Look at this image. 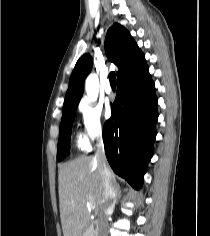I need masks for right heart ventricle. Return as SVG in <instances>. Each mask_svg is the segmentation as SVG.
<instances>
[{
	"label": "right heart ventricle",
	"instance_id": "e07e8e85",
	"mask_svg": "<svg viewBox=\"0 0 210 236\" xmlns=\"http://www.w3.org/2000/svg\"><path fill=\"white\" fill-rule=\"evenodd\" d=\"M75 146L78 150L86 151L89 149V143L80 134L75 136Z\"/></svg>",
	"mask_w": 210,
	"mask_h": 236
}]
</instances>
